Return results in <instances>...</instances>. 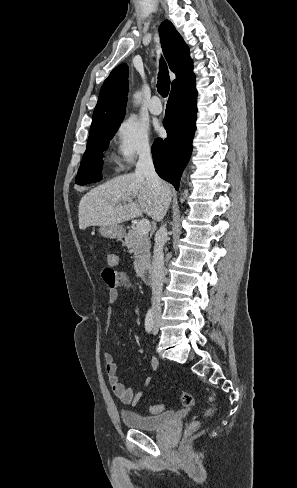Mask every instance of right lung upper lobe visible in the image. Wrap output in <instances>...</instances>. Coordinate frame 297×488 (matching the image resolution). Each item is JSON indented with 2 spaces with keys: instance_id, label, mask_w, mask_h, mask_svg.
I'll return each mask as SVG.
<instances>
[{
  "instance_id": "obj_1",
  "label": "right lung upper lobe",
  "mask_w": 297,
  "mask_h": 488,
  "mask_svg": "<svg viewBox=\"0 0 297 488\" xmlns=\"http://www.w3.org/2000/svg\"><path fill=\"white\" fill-rule=\"evenodd\" d=\"M163 52L176 79L172 88L195 77L189 49L173 24L166 20L159 29ZM128 93V66L116 67L105 80L93 113L90 133L102 126H119L125 114Z\"/></svg>"
}]
</instances>
